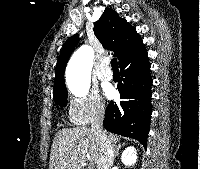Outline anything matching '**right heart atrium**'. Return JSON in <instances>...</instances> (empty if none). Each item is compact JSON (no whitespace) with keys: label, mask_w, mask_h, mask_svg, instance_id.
Returning a JSON list of instances; mask_svg holds the SVG:
<instances>
[{"label":"right heart atrium","mask_w":200,"mask_h":169,"mask_svg":"<svg viewBox=\"0 0 200 169\" xmlns=\"http://www.w3.org/2000/svg\"><path fill=\"white\" fill-rule=\"evenodd\" d=\"M106 106L96 93L72 96L68 105V118L73 125L83 126L102 118Z\"/></svg>","instance_id":"obj_1"}]
</instances>
